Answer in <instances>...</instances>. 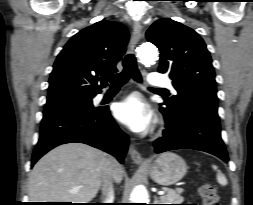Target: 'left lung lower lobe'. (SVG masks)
<instances>
[{
	"instance_id": "0a47b994",
	"label": "left lung lower lobe",
	"mask_w": 253,
	"mask_h": 205,
	"mask_svg": "<svg viewBox=\"0 0 253 205\" xmlns=\"http://www.w3.org/2000/svg\"><path fill=\"white\" fill-rule=\"evenodd\" d=\"M166 126L162 137L154 142V151L162 153L176 149H195L213 154L228 162L221 139L217 109L196 106L177 115H170L161 107Z\"/></svg>"
}]
</instances>
